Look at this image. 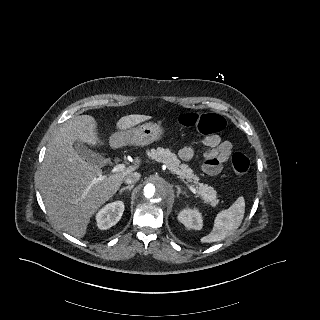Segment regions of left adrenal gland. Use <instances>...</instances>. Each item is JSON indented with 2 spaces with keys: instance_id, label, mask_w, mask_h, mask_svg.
I'll return each instance as SVG.
<instances>
[{
  "instance_id": "a2214340",
  "label": "left adrenal gland",
  "mask_w": 320,
  "mask_h": 320,
  "mask_svg": "<svg viewBox=\"0 0 320 320\" xmlns=\"http://www.w3.org/2000/svg\"><path fill=\"white\" fill-rule=\"evenodd\" d=\"M180 194H185V192L181 191L180 187L177 186V196H179Z\"/></svg>"
}]
</instances>
